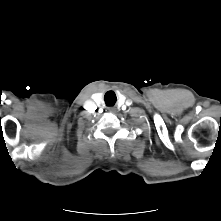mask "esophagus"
Returning <instances> with one entry per match:
<instances>
[{
    "label": "esophagus",
    "instance_id": "1",
    "mask_svg": "<svg viewBox=\"0 0 221 221\" xmlns=\"http://www.w3.org/2000/svg\"><path fill=\"white\" fill-rule=\"evenodd\" d=\"M110 113H114L115 112V108L111 107L108 109Z\"/></svg>",
    "mask_w": 221,
    "mask_h": 221
}]
</instances>
